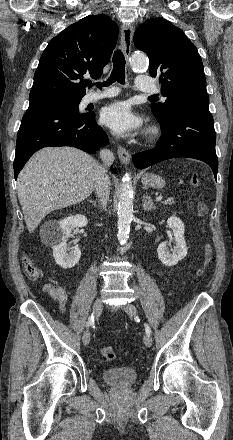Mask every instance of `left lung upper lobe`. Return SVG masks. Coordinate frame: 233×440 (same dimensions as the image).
Wrapping results in <instances>:
<instances>
[{"instance_id":"left-lung-upper-lobe-1","label":"left lung upper lobe","mask_w":233,"mask_h":440,"mask_svg":"<svg viewBox=\"0 0 233 440\" xmlns=\"http://www.w3.org/2000/svg\"><path fill=\"white\" fill-rule=\"evenodd\" d=\"M136 47L150 61L149 73L159 77L165 103L152 104L157 120L166 123L188 106L208 108L209 97L201 57L183 31L165 19L144 22L134 34Z\"/></svg>"}]
</instances>
